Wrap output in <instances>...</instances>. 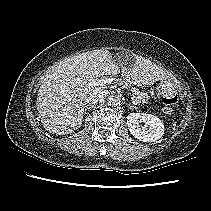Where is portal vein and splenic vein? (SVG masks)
Segmentation results:
<instances>
[{"label": "portal vein and splenic vein", "mask_w": 211, "mask_h": 211, "mask_svg": "<svg viewBox=\"0 0 211 211\" xmlns=\"http://www.w3.org/2000/svg\"><path fill=\"white\" fill-rule=\"evenodd\" d=\"M112 82H113L112 78H104V79H99L97 81L91 82V83H89V85L90 86H102L105 84H111ZM131 101L134 105H137V103H138L134 97L131 98Z\"/></svg>", "instance_id": "obj_1"}]
</instances>
